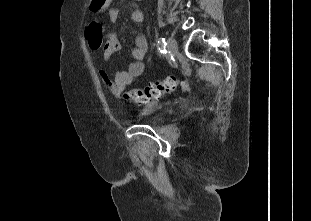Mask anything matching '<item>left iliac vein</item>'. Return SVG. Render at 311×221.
Segmentation results:
<instances>
[{
    "label": "left iliac vein",
    "instance_id": "1",
    "mask_svg": "<svg viewBox=\"0 0 311 221\" xmlns=\"http://www.w3.org/2000/svg\"><path fill=\"white\" fill-rule=\"evenodd\" d=\"M167 48L171 54L175 55L178 51V45L176 40L173 37H168L167 39Z\"/></svg>",
    "mask_w": 311,
    "mask_h": 221
}]
</instances>
